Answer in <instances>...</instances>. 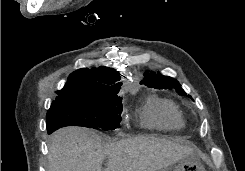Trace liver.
<instances>
[{
    "mask_svg": "<svg viewBox=\"0 0 245 171\" xmlns=\"http://www.w3.org/2000/svg\"><path fill=\"white\" fill-rule=\"evenodd\" d=\"M195 152L194 147L151 136L102 145L96 132L66 127L51 137L47 171H160Z\"/></svg>",
    "mask_w": 245,
    "mask_h": 171,
    "instance_id": "liver-1",
    "label": "liver"
}]
</instances>
